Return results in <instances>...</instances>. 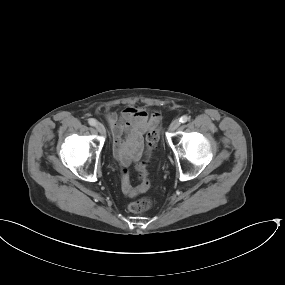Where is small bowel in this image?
<instances>
[{
    "instance_id": "small-bowel-1",
    "label": "small bowel",
    "mask_w": 285,
    "mask_h": 285,
    "mask_svg": "<svg viewBox=\"0 0 285 285\" xmlns=\"http://www.w3.org/2000/svg\"><path fill=\"white\" fill-rule=\"evenodd\" d=\"M161 119V113L154 111L148 113L143 108L131 107L120 114L108 113L106 120L111 126L113 138V153L122 166H128L137 161L142 151L143 134L154 128ZM125 132H129L126 141L123 140ZM122 191L129 197H134L144 192L139 187Z\"/></svg>"
}]
</instances>
